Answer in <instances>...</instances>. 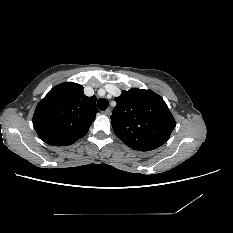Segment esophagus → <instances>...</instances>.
Returning a JSON list of instances; mask_svg holds the SVG:
<instances>
[{
  "label": "esophagus",
  "mask_w": 233,
  "mask_h": 233,
  "mask_svg": "<svg viewBox=\"0 0 233 233\" xmlns=\"http://www.w3.org/2000/svg\"><path fill=\"white\" fill-rule=\"evenodd\" d=\"M102 114L109 116L111 114V110L107 109V110L103 111Z\"/></svg>",
  "instance_id": "obj_1"
}]
</instances>
